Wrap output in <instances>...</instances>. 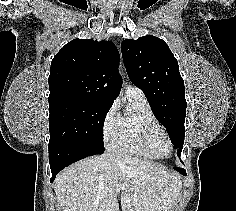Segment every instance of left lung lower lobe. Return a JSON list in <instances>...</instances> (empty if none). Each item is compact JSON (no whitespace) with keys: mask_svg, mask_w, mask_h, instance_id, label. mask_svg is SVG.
<instances>
[{"mask_svg":"<svg viewBox=\"0 0 236 211\" xmlns=\"http://www.w3.org/2000/svg\"><path fill=\"white\" fill-rule=\"evenodd\" d=\"M174 169L177 170V171H178L179 173H181L182 175H186L185 169L179 168V167H175Z\"/></svg>","mask_w":236,"mask_h":211,"instance_id":"0a47b994","label":"left lung lower lobe"}]
</instances>
